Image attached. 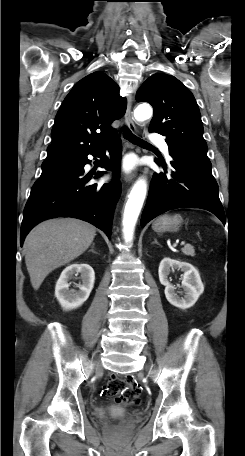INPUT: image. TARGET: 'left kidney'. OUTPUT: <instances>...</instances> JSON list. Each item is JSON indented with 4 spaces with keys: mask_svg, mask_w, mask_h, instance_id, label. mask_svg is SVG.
<instances>
[{
    "mask_svg": "<svg viewBox=\"0 0 245 456\" xmlns=\"http://www.w3.org/2000/svg\"><path fill=\"white\" fill-rule=\"evenodd\" d=\"M174 269H180L184 272L182 280L184 297H179L175 292L176 288L168 281V276ZM158 274L160 283L165 286L166 299L170 304L180 309L192 307L204 291L199 272L189 263L166 257L160 262Z\"/></svg>",
    "mask_w": 245,
    "mask_h": 456,
    "instance_id": "5707ae66",
    "label": "left kidney"
}]
</instances>
